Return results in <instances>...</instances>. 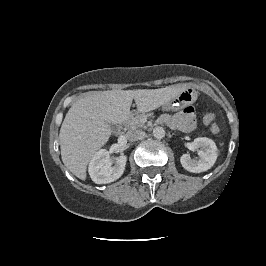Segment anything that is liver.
I'll return each mask as SVG.
<instances>
[{
  "label": "liver",
  "instance_id": "6515ba94",
  "mask_svg": "<svg viewBox=\"0 0 266 266\" xmlns=\"http://www.w3.org/2000/svg\"><path fill=\"white\" fill-rule=\"evenodd\" d=\"M183 87L88 92L71 106L60 129L64 165L76 177L85 180L88 163L112 134L110 124L129 118L133 99L139 112H149L164 105Z\"/></svg>",
  "mask_w": 266,
  "mask_h": 266
}]
</instances>
